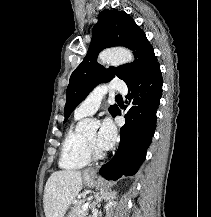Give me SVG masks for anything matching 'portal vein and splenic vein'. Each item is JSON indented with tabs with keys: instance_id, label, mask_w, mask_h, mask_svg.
Wrapping results in <instances>:
<instances>
[{
	"instance_id": "portal-vein-and-splenic-vein-1",
	"label": "portal vein and splenic vein",
	"mask_w": 211,
	"mask_h": 217,
	"mask_svg": "<svg viewBox=\"0 0 211 217\" xmlns=\"http://www.w3.org/2000/svg\"><path fill=\"white\" fill-rule=\"evenodd\" d=\"M89 205H90V201L84 203L83 206H82V210L86 211L88 209Z\"/></svg>"
}]
</instances>
